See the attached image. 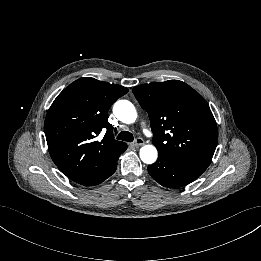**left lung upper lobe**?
Instances as JSON below:
<instances>
[{
  "instance_id": "5c2ea615",
  "label": "left lung upper lobe",
  "mask_w": 261,
  "mask_h": 261,
  "mask_svg": "<svg viewBox=\"0 0 261 261\" xmlns=\"http://www.w3.org/2000/svg\"><path fill=\"white\" fill-rule=\"evenodd\" d=\"M133 93L148 112L159 156L209 166L218 130L207 102L199 93L179 80L139 85L133 88Z\"/></svg>"
}]
</instances>
